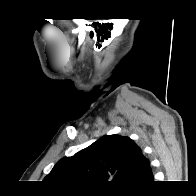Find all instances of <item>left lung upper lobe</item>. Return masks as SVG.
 <instances>
[{"instance_id": "1", "label": "left lung upper lobe", "mask_w": 196, "mask_h": 196, "mask_svg": "<svg viewBox=\"0 0 196 196\" xmlns=\"http://www.w3.org/2000/svg\"><path fill=\"white\" fill-rule=\"evenodd\" d=\"M150 161L129 137L107 135L72 157L62 158L45 180L56 187L89 190H135Z\"/></svg>"}]
</instances>
